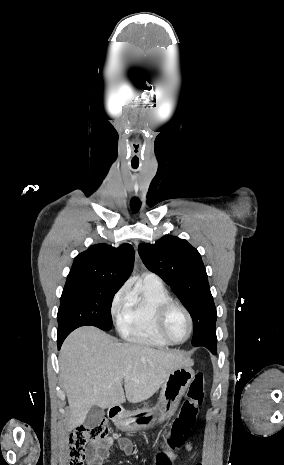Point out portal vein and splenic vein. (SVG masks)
Listing matches in <instances>:
<instances>
[{
	"label": "portal vein and splenic vein",
	"instance_id": "obj_1",
	"mask_svg": "<svg viewBox=\"0 0 284 465\" xmlns=\"http://www.w3.org/2000/svg\"><path fill=\"white\" fill-rule=\"evenodd\" d=\"M124 377H127L126 373H123Z\"/></svg>",
	"mask_w": 284,
	"mask_h": 465
}]
</instances>
